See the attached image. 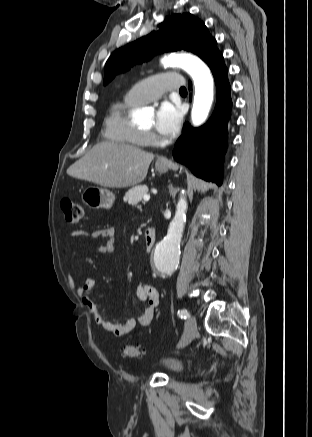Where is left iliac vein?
Segmentation results:
<instances>
[{
	"label": "left iliac vein",
	"instance_id": "4c4485c4",
	"mask_svg": "<svg viewBox=\"0 0 312 437\" xmlns=\"http://www.w3.org/2000/svg\"><path fill=\"white\" fill-rule=\"evenodd\" d=\"M196 333H197L196 319L195 316L192 315L187 321L186 329L183 338L179 344V347H185L186 345H188L190 341L195 337Z\"/></svg>",
	"mask_w": 312,
	"mask_h": 437
}]
</instances>
